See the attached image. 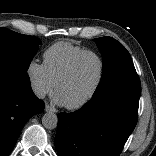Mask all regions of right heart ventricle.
I'll return each mask as SVG.
<instances>
[{
  "label": "right heart ventricle",
  "mask_w": 156,
  "mask_h": 156,
  "mask_svg": "<svg viewBox=\"0 0 156 156\" xmlns=\"http://www.w3.org/2000/svg\"><path fill=\"white\" fill-rule=\"evenodd\" d=\"M85 50L88 49L71 42L60 41L44 52V65L54 83L64 73L73 58Z\"/></svg>",
  "instance_id": "1"
}]
</instances>
